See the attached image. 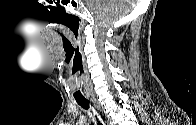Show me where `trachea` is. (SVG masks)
<instances>
[{
  "label": "trachea",
  "mask_w": 196,
  "mask_h": 125,
  "mask_svg": "<svg viewBox=\"0 0 196 125\" xmlns=\"http://www.w3.org/2000/svg\"><path fill=\"white\" fill-rule=\"evenodd\" d=\"M76 102H77L81 107H83L84 109H87V110H88V108H89V101H88V100H86V99H83V100H76ZM97 121H98V119H97ZM98 124L101 125L100 122H98Z\"/></svg>",
  "instance_id": "3493384b"
}]
</instances>
